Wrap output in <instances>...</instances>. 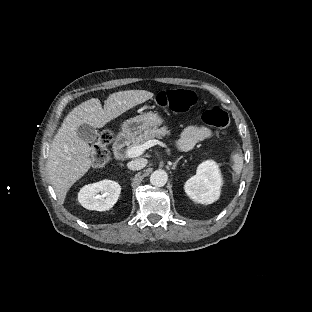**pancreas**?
I'll return each instance as SVG.
<instances>
[{"mask_svg":"<svg viewBox=\"0 0 312 312\" xmlns=\"http://www.w3.org/2000/svg\"><path fill=\"white\" fill-rule=\"evenodd\" d=\"M172 135V132L168 130L167 126L163 127H152L150 129H147L143 132V134H140L137 138L136 141L132 144L130 147H143L144 145L150 141L153 140L155 137L158 138H164L167 137L168 139Z\"/></svg>","mask_w":312,"mask_h":312,"instance_id":"obj_1","label":"pancreas"}]
</instances>
